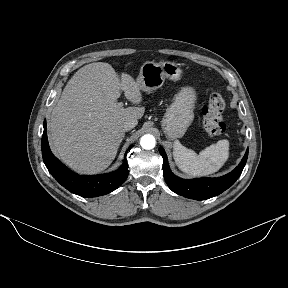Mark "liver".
I'll return each instance as SVG.
<instances>
[{"label":"liver","mask_w":288,"mask_h":288,"mask_svg":"<svg viewBox=\"0 0 288 288\" xmlns=\"http://www.w3.org/2000/svg\"><path fill=\"white\" fill-rule=\"evenodd\" d=\"M121 90L133 104L142 102L137 82L126 73L120 82L113 67L104 62L83 66L68 81L52 111L49 138L73 170L85 174L105 170L125 137L124 123L144 115V107L118 105Z\"/></svg>","instance_id":"6515ba94"}]
</instances>
